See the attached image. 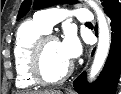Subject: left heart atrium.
I'll use <instances>...</instances> for the list:
<instances>
[{"instance_id": "obj_1", "label": "left heart atrium", "mask_w": 121, "mask_h": 94, "mask_svg": "<svg viewBox=\"0 0 121 94\" xmlns=\"http://www.w3.org/2000/svg\"><path fill=\"white\" fill-rule=\"evenodd\" d=\"M60 44L65 56L70 61L74 60L76 57L79 56L81 52V45L74 35L67 34L65 39L60 42Z\"/></svg>"}]
</instances>
